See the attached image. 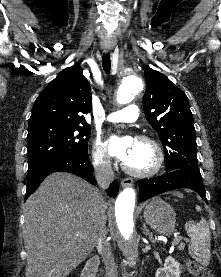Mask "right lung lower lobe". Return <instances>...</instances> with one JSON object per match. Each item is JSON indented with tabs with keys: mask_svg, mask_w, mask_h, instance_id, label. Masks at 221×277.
Returning a JSON list of instances; mask_svg holds the SVG:
<instances>
[{
	"mask_svg": "<svg viewBox=\"0 0 221 277\" xmlns=\"http://www.w3.org/2000/svg\"><path fill=\"white\" fill-rule=\"evenodd\" d=\"M69 172L80 176L89 183L96 185L97 182L93 177V168L87 153H78L67 158L47 162L37 167L31 172H28L27 190L25 200L31 193L41 184V182L51 173L54 172ZM119 190V183L114 181L106 190L108 195L114 197Z\"/></svg>",
	"mask_w": 221,
	"mask_h": 277,
	"instance_id": "right-lung-lower-lobe-1",
	"label": "right lung lower lobe"
}]
</instances>
